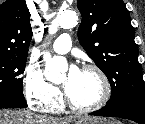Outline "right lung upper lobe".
Instances as JSON below:
<instances>
[{
    "label": "right lung upper lobe",
    "instance_id": "obj_1",
    "mask_svg": "<svg viewBox=\"0 0 145 124\" xmlns=\"http://www.w3.org/2000/svg\"><path fill=\"white\" fill-rule=\"evenodd\" d=\"M29 17L25 0L0 5V55L27 57L32 39Z\"/></svg>",
    "mask_w": 145,
    "mask_h": 124
}]
</instances>
